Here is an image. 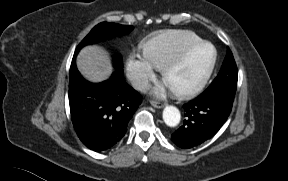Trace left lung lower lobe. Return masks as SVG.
<instances>
[{
    "label": "left lung lower lobe",
    "instance_id": "left-lung-lower-lobe-1",
    "mask_svg": "<svg viewBox=\"0 0 288 181\" xmlns=\"http://www.w3.org/2000/svg\"><path fill=\"white\" fill-rule=\"evenodd\" d=\"M233 100L222 95H200L183 105L186 119L171 140L181 148H192L212 138L227 120Z\"/></svg>",
    "mask_w": 288,
    "mask_h": 181
}]
</instances>
